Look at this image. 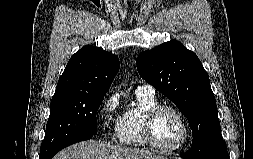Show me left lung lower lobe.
Segmentation results:
<instances>
[{"label": "left lung lower lobe", "instance_id": "obj_1", "mask_svg": "<svg viewBox=\"0 0 253 159\" xmlns=\"http://www.w3.org/2000/svg\"><path fill=\"white\" fill-rule=\"evenodd\" d=\"M181 157L184 159H230L224 140L217 143L214 146L212 153L205 157L199 158L191 149L182 154Z\"/></svg>", "mask_w": 253, "mask_h": 159}]
</instances>
